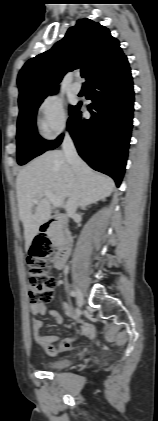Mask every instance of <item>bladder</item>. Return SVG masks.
Returning a JSON list of instances; mask_svg holds the SVG:
<instances>
[{
    "mask_svg": "<svg viewBox=\"0 0 158 421\" xmlns=\"http://www.w3.org/2000/svg\"><path fill=\"white\" fill-rule=\"evenodd\" d=\"M70 365V361L68 359L62 358L53 361H49L46 363V367L52 370H59L64 369Z\"/></svg>",
    "mask_w": 158,
    "mask_h": 421,
    "instance_id": "1",
    "label": "bladder"
}]
</instances>
